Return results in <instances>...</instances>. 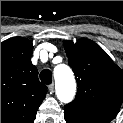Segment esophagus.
<instances>
[{
	"mask_svg": "<svg viewBox=\"0 0 123 123\" xmlns=\"http://www.w3.org/2000/svg\"><path fill=\"white\" fill-rule=\"evenodd\" d=\"M48 89H49V91H50L51 93H53V92H54V84H53V83L50 84V85L48 86Z\"/></svg>",
	"mask_w": 123,
	"mask_h": 123,
	"instance_id": "esophagus-1",
	"label": "esophagus"
}]
</instances>
